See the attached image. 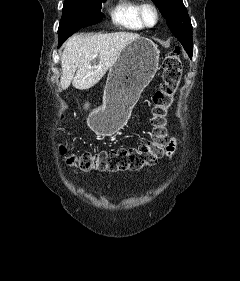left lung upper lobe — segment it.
<instances>
[{
  "instance_id": "1",
  "label": "left lung upper lobe",
  "mask_w": 240,
  "mask_h": 281,
  "mask_svg": "<svg viewBox=\"0 0 240 281\" xmlns=\"http://www.w3.org/2000/svg\"><path fill=\"white\" fill-rule=\"evenodd\" d=\"M167 19L171 32L191 58L193 55L192 25L182 0H152Z\"/></svg>"
}]
</instances>
